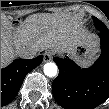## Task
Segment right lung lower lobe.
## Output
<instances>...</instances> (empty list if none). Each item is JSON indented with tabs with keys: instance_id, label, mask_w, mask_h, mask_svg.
Segmentation results:
<instances>
[{
	"instance_id": "obj_1",
	"label": "right lung lower lobe",
	"mask_w": 109,
	"mask_h": 109,
	"mask_svg": "<svg viewBox=\"0 0 109 109\" xmlns=\"http://www.w3.org/2000/svg\"><path fill=\"white\" fill-rule=\"evenodd\" d=\"M43 60V56L34 59H16L1 69V107L9 104L17 95L25 76Z\"/></svg>"
}]
</instances>
